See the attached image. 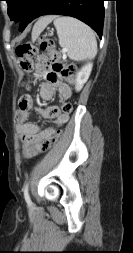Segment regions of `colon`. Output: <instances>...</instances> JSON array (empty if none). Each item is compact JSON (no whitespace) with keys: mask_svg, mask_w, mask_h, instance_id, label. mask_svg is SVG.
<instances>
[{"mask_svg":"<svg viewBox=\"0 0 133 253\" xmlns=\"http://www.w3.org/2000/svg\"><path fill=\"white\" fill-rule=\"evenodd\" d=\"M41 50L45 53V56H52V61H47L48 67L53 74L59 75L65 79H72L73 67L68 65L60 53L55 49L54 43L49 40L42 38L39 40L38 45L32 43H24L16 48V55L18 57L20 67L26 72H32L34 68L35 58ZM73 110L71 102H64L58 110L62 114L69 115ZM55 112V111H54ZM59 134L57 133L50 139L44 141L38 151L46 152L55 144Z\"/></svg>","mask_w":133,"mask_h":253,"instance_id":"1","label":"colon"}]
</instances>
